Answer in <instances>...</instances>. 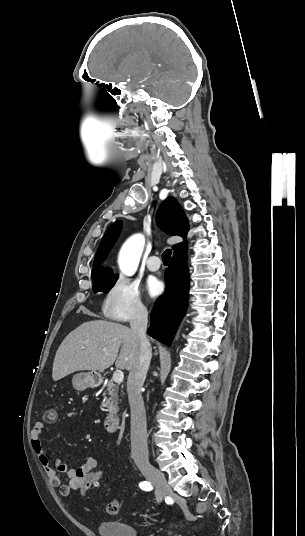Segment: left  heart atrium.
Returning <instances> with one entry per match:
<instances>
[{"instance_id": "left-heart-atrium-1", "label": "left heart atrium", "mask_w": 305, "mask_h": 536, "mask_svg": "<svg viewBox=\"0 0 305 536\" xmlns=\"http://www.w3.org/2000/svg\"><path fill=\"white\" fill-rule=\"evenodd\" d=\"M146 290L151 297H156L161 294L163 284L155 277H149L146 282Z\"/></svg>"}]
</instances>
